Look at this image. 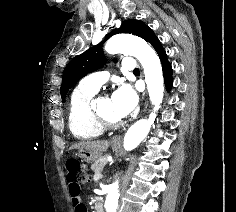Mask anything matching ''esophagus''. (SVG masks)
<instances>
[{
  "mask_svg": "<svg viewBox=\"0 0 236 212\" xmlns=\"http://www.w3.org/2000/svg\"><path fill=\"white\" fill-rule=\"evenodd\" d=\"M146 107H147V102H145V104H144V109H146ZM121 140V137L120 136H114L113 138H112V141L114 142V143H117V142H119Z\"/></svg>",
  "mask_w": 236,
  "mask_h": 212,
  "instance_id": "1",
  "label": "esophagus"
}]
</instances>
